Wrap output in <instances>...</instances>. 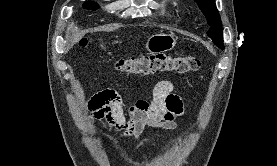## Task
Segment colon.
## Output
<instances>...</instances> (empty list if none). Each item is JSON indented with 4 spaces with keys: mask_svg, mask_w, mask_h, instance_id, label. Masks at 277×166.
I'll list each match as a JSON object with an SVG mask.
<instances>
[{
    "mask_svg": "<svg viewBox=\"0 0 277 166\" xmlns=\"http://www.w3.org/2000/svg\"><path fill=\"white\" fill-rule=\"evenodd\" d=\"M80 47H85L87 41L81 39ZM200 66V60L196 56H170L162 53L131 56L116 61L115 68L132 75H154L159 73L184 74L195 71Z\"/></svg>",
    "mask_w": 277,
    "mask_h": 166,
    "instance_id": "colon-1",
    "label": "colon"
}]
</instances>
